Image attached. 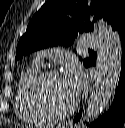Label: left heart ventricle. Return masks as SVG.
Listing matches in <instances>:
<instances>
[{
    "label": "left heart ventricle",
    "mask_w": 125,
    "mask_h": 128,
    "mask_svg": "<svg viewBox=\"0 0 125 128\" xmlns=\"http://www.w3.org/2000/svg\"><path fill=\"white\" fill-rule=\"evenodd\" d=\"M42 97L53 111H62L71 106L75 98L69 92L62 75L47 80L42 87Z\"/></svg>",
    "instance_id": "b2bd125f"
}]
</instances>
